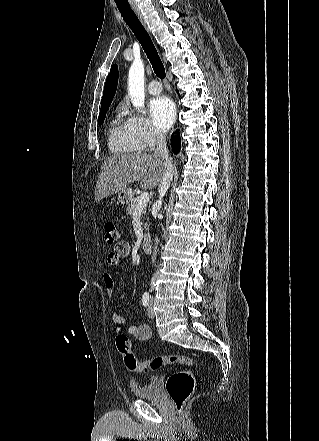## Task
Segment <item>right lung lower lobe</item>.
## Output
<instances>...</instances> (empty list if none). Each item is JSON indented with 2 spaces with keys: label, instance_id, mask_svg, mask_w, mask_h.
Returning a JSON list of instances; mask_svg holds the SVG:
<instances>
[{
  "label": "right lung lower lobe",
  "instance_id": "98d812e1",
  "mask_svg": "<svg viewBox=\"0 0 319 441\" xmlns=\"http://www.w3.org/2000/svg\"><path fill=\"white\" fill-rule=\"evenodd\" d=\"M172 148H173V152L175 154H177L179 152V148H180V137L178 135L177 132V136L176 137H172Z\"/></svg>",
  "mask_w": 319,
  "mask_h": 441
}]
</instances>
